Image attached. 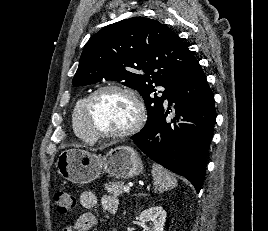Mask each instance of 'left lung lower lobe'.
Returning <instances> with one entry per match:
<instances>
[{
  "label": "left lung lower lobe",
  "mask_w": 268,
  "mask_h": 231,
  "mask_svg": "<svg viewBox=\"0 0 268 231\" xmlns=\"http://www.w3.org/2000/svg\"><path fill=\"white\" fill-rule=\"evenodd\" d=\"M169 111L146 130L131 137L152 160L188 179L199 192L205 177L206 156L216 119L214 96L198 61L167 93Z\"/></svg>",
  "instance_id": "1"
}]
</instances>
